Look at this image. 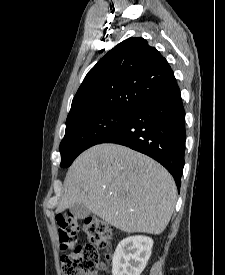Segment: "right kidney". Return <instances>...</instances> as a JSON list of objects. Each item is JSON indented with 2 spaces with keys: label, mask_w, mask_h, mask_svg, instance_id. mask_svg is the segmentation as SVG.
Returning <instances> with one entry per match:
<instances>
[{
  "label": "right kidney",
  "mask_w": 225,
  "mask_h": 275,
  "mask_svg": "<svg viewBox=\"0 0 225 275\" xmlns=\"http://www.w3.org/2000/svg\"><path fill=\"white\" fill-rule=\"evenodd\" d=\"M153 240L129 236L119 242L112 259V275H140L151 256Z\"/></svg>",
  "instance_id": "right-kidney-1"
}]
</instances>
